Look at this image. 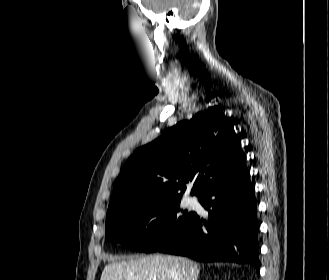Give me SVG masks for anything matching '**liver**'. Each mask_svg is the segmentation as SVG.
<instances>
[{
    "instance_id": "obj_1",
    "label": "liver",
    "mask_w": 329,
    "mask_h": 280,
    "mask_svg": "<svg viewBox=\"0 0 329 280\" xmlns=\"http://www.w3.org/2000/svg\"><path fill=\"white\" fill-rule=\"evenodd\" d=\"M114 258L105 266L100 280H197L198 264L186 257L150 255Z\"/></svg>"
}]
</instances>
